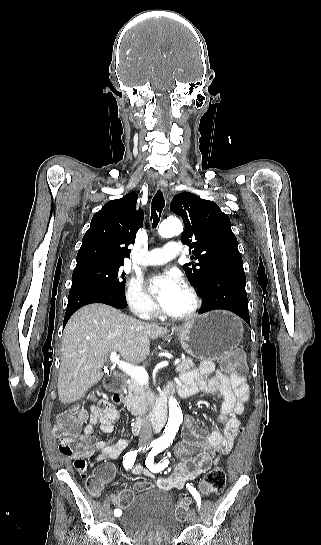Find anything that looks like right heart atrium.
<instances>
[{
	"label": "right heart atrium",
	"mask_w": 321,
	"mask_h": 545,
	"mask_svg": "<svg viewBox=\"0 0 321 545\" xmlns=\"http://www.w3.org/2000/svg\"><path fill=\"white\" fill-rule=\"evenodd\" d=\"M125 300L130 311L136 316L152 320L157 315V307L154 302L141 289L135 281L127 283L125 288Z\"/></svg>",
	"instance_id": "obj_1"
}]
</instances>
